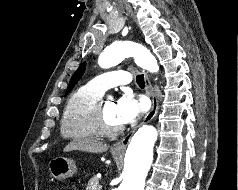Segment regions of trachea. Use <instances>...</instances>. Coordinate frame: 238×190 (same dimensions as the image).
<instances>
[{
    "mask_svg": "<svg viewBox=\"0 0 238 190\" xmlns=\"http://www.w3.org/2000/svg\"><path fill=\"white\" fill-rule=\"evenodd\" d=\"M136 82L140 87H144L145 86L144 75H138L136 77Z\"/></svg>",
    "mask_w": 238,
    "mask_h": 190,
    "instance_id": "obj_1",
    "label": "trachea"
}]
</instances>
